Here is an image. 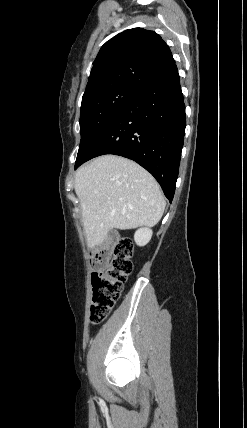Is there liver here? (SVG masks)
I'll return each mask as SVG.
<instances>
[{
  "instance_id": "obj_1",
  "label": "liver",
  "mask_w": 247,
  "mask_h": 428,
  "mask_svg": "<svg viewBox=\"0 0 247 428\" xmlns=\"http://www.w3.org/2000/svg\"><path fill=\"white\" fill-rule=\"evenodd\" d=\"M75 192L82 209L87 245H101L112 229L153 227L166 202L145 169L123 157L105 155L80 167Z\"/></svg>"
}]
</instances>
